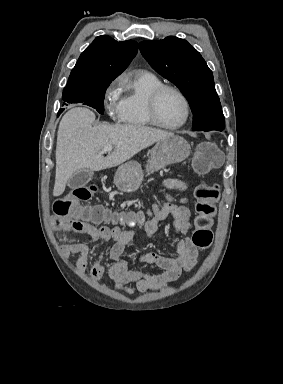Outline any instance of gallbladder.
<instances>
[{"label":"gallbladder","instance_id":"1","mask_svg":"<svg viewBox=\"0 0 283 384\" xmlns=\"http://www.w3.org/2000/svg\"><path fill=\"white\" fill-rule=\"evenodd\" d=\"M91 180V172H88V170H80L79 174H75V176H72L68 182L69 188L72 189V186H81V188H84L88 182Z\"/></svg>","mask_w":283,"mask_h":384}]
</instances>
